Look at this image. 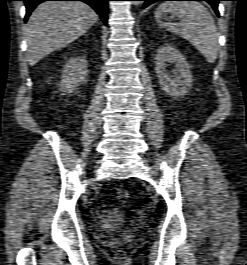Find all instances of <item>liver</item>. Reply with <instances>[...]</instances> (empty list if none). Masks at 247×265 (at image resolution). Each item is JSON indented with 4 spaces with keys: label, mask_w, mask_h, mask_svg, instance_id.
<instances>
[{
    "label": "liver",
    "mask_w": 247,
    "mask_h": 265,
    "mask_svg": "<svg viewBox=\"0 0 247 265\" xmlns=\"http://www.w3.org/2000/svg\"><path fill=\"white\" fill-rule=\"evenodd\" d=\"M97 20L95 11L83 2L41 3L30 16L25 30L30 66L84 35Z\"/></svg>",
    "instance_id": "liver-1"
}]
</instances>
